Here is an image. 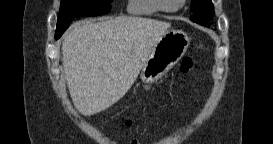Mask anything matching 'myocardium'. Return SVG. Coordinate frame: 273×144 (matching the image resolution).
<instances>
[{
    "mask_svg": "<svg viewBox=\"0 0 273 144\" xmlns=\"http://www.w3.org/2000/svg\"><path fill=\"white\" fill-rule=\"evenodd\" d=\"M158 10L164 11V12H175L177 11V8H169L166 6L165 2L166 0H155ZM185 0H180L179 4H183Z\"/></svg>",
    "mask_w": 273,
    "mask_h": 144,
    "instance_id": "obj_1",
    "label": "myocardium"
}]
</instances>
